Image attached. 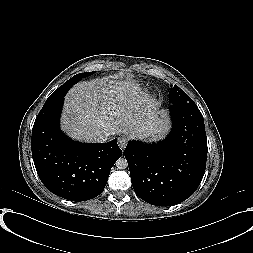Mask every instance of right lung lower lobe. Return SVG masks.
I'll return each instance as SVG.
<instances>
[{"label":"right lung lower lobe","mask_w":253,"mask_h":253,"mask_svg":"<svg viewBox=\"0 0 253 253\" xmlns=\"http://www.w3.org/2000/svg\"><path fill=\"white\" fill-rule=\"evenodd\" d=\"M66 93L57 101L44 104L36 117L32 157L39 178L48 190L71 201H86L103 192L122 150L117 139L100 144L79 143L60 131Z\"/></svg>","instance_id":"right-lung-lower-lobe-1"}]
</instances>
